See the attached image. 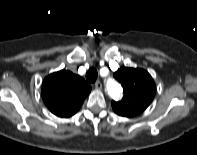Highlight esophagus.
Returning a JSON list of instances; mask_svg holds the SVG:
<instances>
[{"label":"esophagus","instance_id":"obj_1","mask_svg":"<svg viewBox=\"0 0 197 155\" xmlns=\"http://www.w3.org/2000/svg\"><path fill=\"white\" fill-rule=\"evenodd\" d=\"M95 88H96V89H102V83H101L100 81H97V82L95 83Z\"/></svg>","mask_w":197,"mask_h":155}]
</instances>
